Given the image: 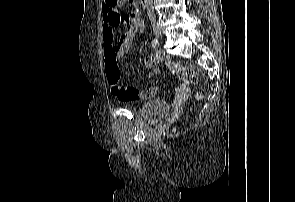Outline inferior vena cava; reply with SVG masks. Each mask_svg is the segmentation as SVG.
<instances>
[{
  "label": "inferior vena cava",
  "mask_w": 295,
  "mask_h": 202,
  "mask_svg": "<svg viewBox=\"0 0 295 202\" xmlns=\"http://www.w3.org/2000/svg\"><path fill=\"white\" fill-rule=\"evenodd\" d=\"M146 2H147V15L149 19L153 20L155 19V15H154V9L152 5V0H146Z\"/></svg>",
  "instance_id": "inferior-vena-cava-1"
}]
</instances>
